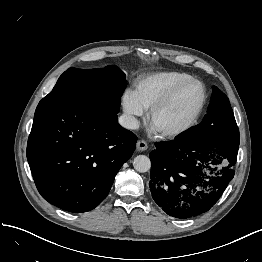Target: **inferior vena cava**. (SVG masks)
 <instances>
[{
    "mask_svg": "<svg viewBox=\"0 0 262 262\" xmlns=\"http://www.w3.org/2000/svg\"><path fill=\"white\" fill-rule=\"evenodd\" d=\"M119 124L126 129H138L139 122L138 120L131 115L123 114L118 118Z\"/></svg>",
    "mask_w": 262,
    "mask_h": 262,
    "instance_id": "inferior-vena-cava-1",
    "label": "inferior vena cava"
}]
</instances>
